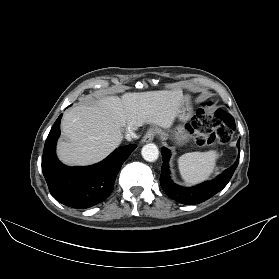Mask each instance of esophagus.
<instances>
[{
    "label": "esophagus",
    "instance_id": "34e87169",
    "mask_svg": "<svg viewBox=\"0 0 279 279\" xmlns=\"http://www.w3.org/2000/svg\"><path fill=\"white\" fill-rule=\"evenodd\" d=\"M157 134V130L155 128H149L145 135L142 138V143L151 142Z\"/></svg>",
    "mask_w": 279,
    "mask_h": 279
}]
</instances>
